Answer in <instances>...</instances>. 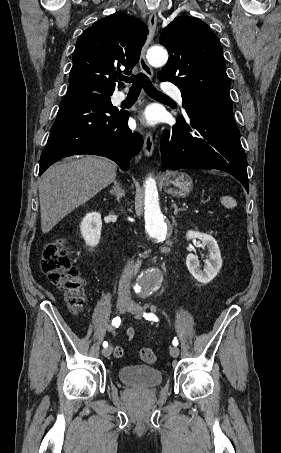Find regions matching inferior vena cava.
I'll return each instance as SVG.
<instances>
[{
    "mask_svg": "<svg viewBox=\"0 0 281 453\" xmlns=\"http://www.w3.org/2000/svg\"><path fill=\"white\" fill-rule=\"evenodd\" d=\"M133 261H129L126 269H124L118 287V299L119 301H131L130 297V283L133 275Z\"/></svg>",
    "mask_w": 281,
    "mask_h": 453,
    "instance_id": "1",
    "label": "inferior vena cava"
}]
</instances>
